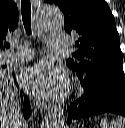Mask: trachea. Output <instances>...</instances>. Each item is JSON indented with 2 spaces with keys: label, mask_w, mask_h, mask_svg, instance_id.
Instances as JSON below:
<instances>
[{
  "label": "trachea",
  "mask_w": 125,
  "mask_h": 128,
  "mask_svg": "<svg viewBox=\"0 0 125 128\" xmlns=\"http://www.w3.org/2000/svg\"><path fill=\"white\" fill-rule=\"evenodd\" d=\"M21 9H22V21L28 35H31V2L30 0H21ZM6 47H10L9 44H6Z\"/></svg>",
  "instance_id": "obj_1"
}]
</instances>
